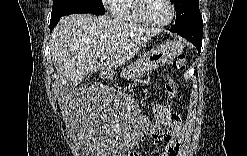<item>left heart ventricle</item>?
<instances>
[{
  "label": "left heart ventricle",
  "mask_w": 247,
  "mask_h": 156,
  "mask_svg": "<svg viewBox=\"0 0 247 156\" xmlns=\"http://www.w3.org/2000/svg\"><path fill=\"white\" fill-rule=\"evenodd\" d=\"M143 12L146 17L153 21H165L170 15V9L164 0L145 1Z\"/></svg>",
  "instance_id": "obj_1"
}]
</instances>
